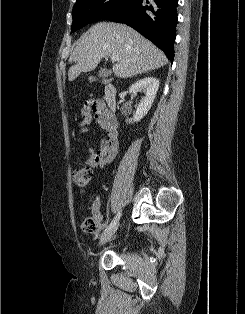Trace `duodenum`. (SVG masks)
I'll list each match as a JSON object with an SVG mask.
<instances>
[{"mask_svg":"<svg viewBox=\"0 0 245 314\" xmlns=\"http://www.w3.org/2000/svg\"><path fill=\"white\" fill-rule=\"evenodd\" d=\"M104 109L105 112L114 117L117 108V87L111 79L104 81Z\"/></svg>","mask_w":245,"mask_h":314,"instance_id":"duodenum-1","label":"duodenum"}]
</instances>
